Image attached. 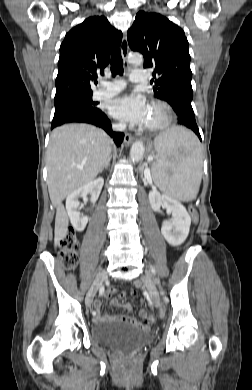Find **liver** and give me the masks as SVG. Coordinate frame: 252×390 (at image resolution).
I'll list each match as a JSON object with an SVG mask.
<instances>
[{
	"label": "liver",
	"instance_id": "liver-1",
	"mask_svg": "<svg viewBox=\"0 0 252 390\" xmlns=\"http://www.w3.org/2000/svg\"><path fill=\"white\" fill-rule=\"evenodd\" d=\"M112 143L104 131L88 124H68L52 131L46 165L49 196L57 209L55 246L68 232L69 219L62 201L96 178L111 155Z\"/></svg>",
	"mask_w": 252,
	"mask_h": 390
}]
</instances>
